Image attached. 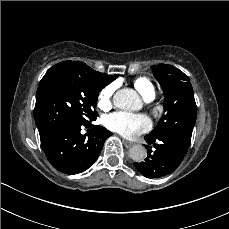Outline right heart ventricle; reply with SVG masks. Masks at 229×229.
Returning a JSON list of instances; mask_svg holds the SVG:
<instances>
[{"instance_id": "obj_1", "label": "right heart ventricle", "mask_w": 229, "mask_h": 229, "mask_svg": "<svg viewBox=\"0 0 229 229\" xmlns=\"http://www.w3.org/2000/svg\"><path fill=\"white\" fill-rule=\"evenodd\" d=\"M134 87L137 91L142 95L144 99L149 97H155V88L150 82V80L146 77H138L134 81Z\"/></svg>"}]
</instances>
